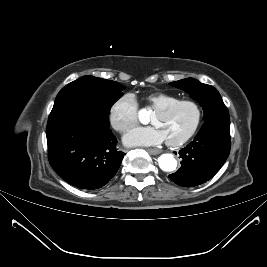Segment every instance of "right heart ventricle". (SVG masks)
<instances>
[{
  "label": "right heart ventricle",
  "mask_w": 267,
  "mask_h": 267,
  "mask_svg": "<svg viewBox=\"0 0 267 267\" xmlns=\"http://www.w3.org/2000/svg\"><path fill=\"white\" fill-rule=\"evenodd\" d=\"M177 100H179L177 96L164 92L152 93L146 98L147 105L153 110H156Z\"/></svg>",
  "instance_id": "right-heart-ventricle-1"
}]
</instances>
